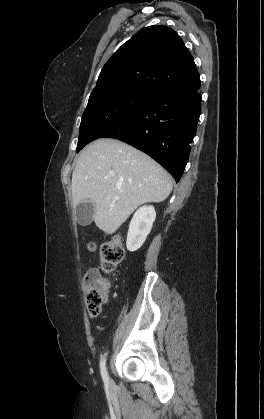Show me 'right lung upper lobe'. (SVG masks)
Here are the masks:
<instances>
[{"instance_id":"1","label":"right lung upper lobe","mask_w":264,"mask_h":419,"mask_svg":"<svg viewBox=\"0 0 264 419\" xmlns=\"http://www.w3.org/2000/svg\"><path fill=\"white\" fill-rule=\"evenodd\" d=\"M200 81L193 57L171 28L149 26L125 42L101 70L93 90L132 85L152 93Z\"/></svg>"}]
</instances>
